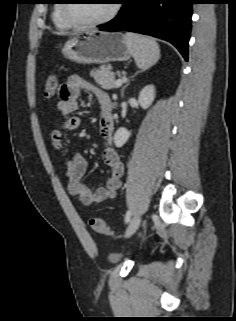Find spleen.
<instances>
[{
	"label": "spleen",
	"instance_id": "obj_1",
	"mask_svg": "<svg viewBox=\"0 0 236 321\" xmlns=\"http://www.w3.org/2000/svg\"><path fill=\"white\" fill-rule=\"evenodd\" d=\"M124 39L131 49L137 66L142 70L150 68L160 58L159 45L153 39L133 33H126Z\"/></svg>",
	"mask_w": 236,
	"mask_h": 321
}]
</instances>
